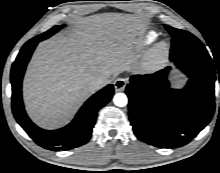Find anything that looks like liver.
I'll use <instances>...</instances> for the list:
<instances>
[{
  "label": "liver",
  "instance_id": "6515ba94",
  "mask_svg": "<svg viewBox=\"0 0 220 173\" xmlns=\"http://www.w3.org/2000/svg\"><path fill=\"white\" fill-rule=\"evenodd\" d=\"M143 29L133 15H93L81 19L79 29L39 43L23 81L31 119L44 128L64 124L97 91L94 79L129 67L134 37Z\"/></svg>",
  "mask_w": 220,
  "mask_h": 173
}]
</instances>
